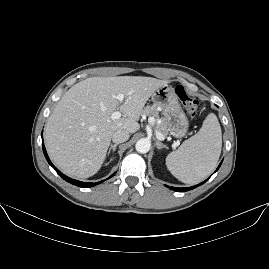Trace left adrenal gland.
Wrapping results in <instances>:
<instances>
[{"label":"left adrenal gland","mask_w":269,"mask_h":269,"mask_svg":"<svg viewBox=\"0 0 269 269\" xmlns=\"http://www.w3.org/2000/svg\"><path fill=\"white\" fill-rule=\"evenodd\" d=\"M155 145H156V148L158 150L162 149V148H165L167 149V147L165 145H163L161 142H159L158 140L155 141Z\"/></svg>","instance_id":"obj_1"}]
</instances>
